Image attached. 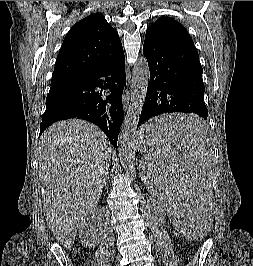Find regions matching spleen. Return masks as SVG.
<instances>
[{
	"mask_svg": "<svg viewBox=\"0 0 253 266\" xmlns=\"http://www.w3.org/2000/svg\"><path fill=\"white\" fill-rule=\"evenodd\" d=\"M199 111H165L144 123L139 157L144 186L168 210L174 229L188 242L213 235L209 190L213 178V141H206V123Z\"/></svg>",
	"mask_w": 253,
	"mask_h": 266,
	"instance_id": "1",
	"label": "spleen"
}]
</instances>
